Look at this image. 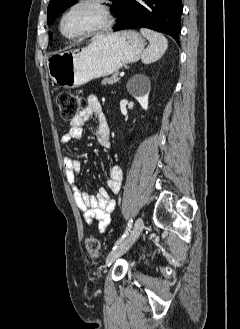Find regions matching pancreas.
<instances>
[{
  "label": "pancreas",
  "instance_id": "cf45deb5",
  "mask_svg": "<svg viewBox=\"0 0 240 329\" xmlns=\"http://www.w3.org/2000/svg\"><path fill=\"white\" fill-rule=\"evenodd\" d=\"M118 81H119L118 74L115 73L111 77H108V78L103 79L102 84L103 85H107V84H111L112 85V84H114V83H116Z\"/></svg>",
  "mask_w": 240,
  "mask_h": 329
}]
</instances>
